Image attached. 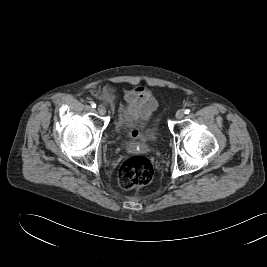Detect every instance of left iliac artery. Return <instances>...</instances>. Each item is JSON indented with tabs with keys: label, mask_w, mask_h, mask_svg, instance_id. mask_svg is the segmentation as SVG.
<instances>
[{
	"label": "left iliac artery",
	"mask_w": 267,
	"mask_h": 267,
	"mask_svg": "<svg viewBox=\"0 0 267 267\" xmlns=\"http://www.w3.org/2000/svg\"><path fill=\"white\" fill-rule=\"evenodd\" d=\"M185 114H189L190 113V109H185Z\"/></svg>",
	"instance_id": "obj_1"
}]
</instances>
